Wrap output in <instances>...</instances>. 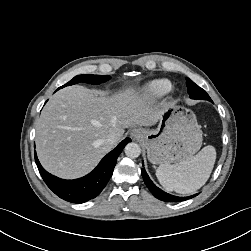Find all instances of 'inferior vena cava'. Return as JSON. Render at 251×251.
Returning <instances> with one entry per match:
<instances>
[{"label": "inferior vena cava", "instance_id": "obj_1", "mask_svg": "<svg viewBox=\"0 0 251 251\" xmlns=\"http://www.w3.org/2000/svg\"><path fill=\"white\" fill-rule=\"evenodd\" d=\"M118 139V135L116 133H110L107 137V142L110 143L111 145L116 144Z\"/></svg>", "mask_w": 251, "mask_h": 251}]
</instances>
